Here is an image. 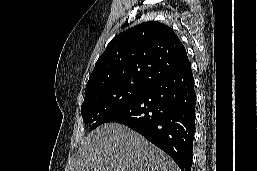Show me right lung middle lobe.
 <instances>
[{
	"label": "right lung middle lobe",
	"instance_id": "1",
	"mask_svg": "<svg viewBox=\"0 0 257 171\" xmlns=\"http://www.w3.org/2000/svg\"><path fill=\"white\" fill-rule=\"evenodd\" d=\"M148 84L115 83L85 91L81 115L85 124L93 123L90 129L105 121L135 99Z\"/></svg>",
	"mask_w": 257,
	"mask_h": 171
}]
</instances>
